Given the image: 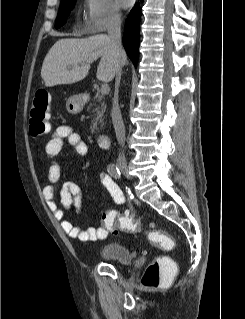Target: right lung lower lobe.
I'll return each mask as SVG.
<instances>
[{"instance_id": "98d812e1", "label": "right lung lower lobe", "mask_w": 245, "mask_h": 319, "mask_svg": "<svg viewBox=\"0 0 245 319\" xmlns=\"http://www.w3.org/2000/svg\"><path fill=\"white\" fill-rule=\"evenodd\" d=\"M139 25L140 9L137 6L131 10L123 34L124 48L134 65H136L139 55Z\"/></svg>"}]
</instances>
